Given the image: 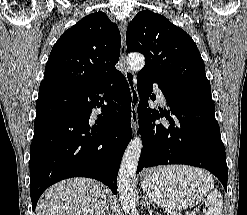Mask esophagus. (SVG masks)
I'll list each match as a JSON object with an SVG mask.
<instances>
[{"label": "esophagus", "instance_id": "obj_1", "mask_svg": "<svg viewBox=\"0 0 247 215\" xmlns=\"http://www.w3.org/2000/svg\"><path fill=\"white\" fill-rule=\"evenodd\" d=\"M126 22H122L120 24L121 30V53H120V63L124 66V76L127 80L130 93H131V126L133 132L137 130L138 127V113H137V106L139 102V95L137 91V82L135 74L126 67Z\"/></svg>", "mask_w": 247, "mask_h": 215}]
</instances>
